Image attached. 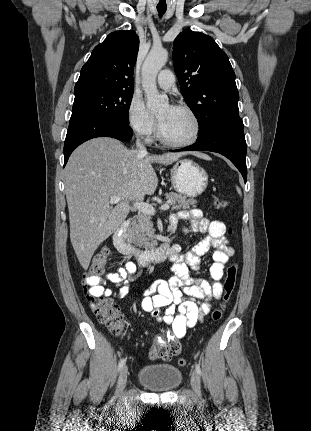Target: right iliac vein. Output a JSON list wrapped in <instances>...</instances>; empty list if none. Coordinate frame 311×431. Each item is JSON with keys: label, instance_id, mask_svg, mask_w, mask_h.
Wrapping results in <instances>:
<instances>
[{"label": "right iliac vein", "instance_id": "right-iliac-vein-1", "mask_svg": "<svg viewBox=\"0 0 311 431\" xmlns=\"http://www.w3.org/2000/svg\"><path fill=\"white\" fill-rule=\"evenodd\" d=\"M127 377H128V367L124 366L120 372L119 378H118V384H117V389H116V396H119L123 389L126 386V382H127Z\"/></svg>", "mask_w": 311, "mask_h": 431}]
</instances>
